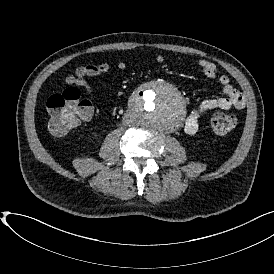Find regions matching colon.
Here are the masks:
<instances>
[{"label": "colon", "mask_w": 274, "mask_h": 274, "mask_svg": "<svg viewBox=\"0 0 274 274\" xmlns=\"http://www.w3.org/2000/svg\"><path fill=\"white\" fill-rule=\"evenodd\" d=\"M61 93L52 94L47 100V108L52 117L49 130L53 136H64L83 121L89 120L94 112L92 103L80 99L78 87L64 84ZM236 125L233 114L218 111L211 119V129L219 136L230 134Z\"/></svg>", "instance_id": "5ec220e1"}]
</instances>
